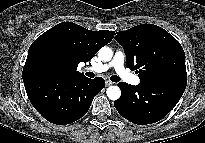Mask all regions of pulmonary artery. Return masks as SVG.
<instances>
[{
	"label": "pulmonary artery",
	"instance_id": "e3ab8cb5",
	"mask_svg": "<svg viewBox=\"0 0 205 143\" xmlns=\"http://www.w3.org/2000/svg\"><path fill=\"white\" fill-rule=\"evenodd\" d=\"M124 60L125 56L122 51H117L113 57V59L109 63H99L92 65L88 67L87 69L95 72V73H102L110 68H114L117 75L125 82L132 84V85H137L140 82V79L138 76L130 73L127 71L124 67Z\"/></svg>",
	"mask_w": 205,
	"mask_h": 143
}]
</instances>
